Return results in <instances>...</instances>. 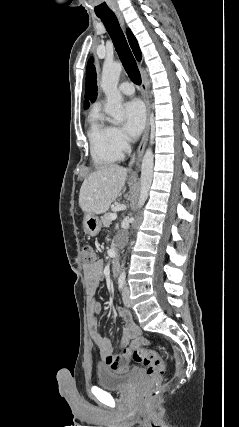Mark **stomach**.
<instances>
[{
    "label": "stomach",
    "mask_w": 239,
    "mask_h": 427,
    "mask_svg": "<svg viewBox=\"0 0 239 427\" xmlns=\"http://www.w3.org/2000/svg\"><path fill=\"white\" fill-rule=\"evenodd\" d=\"M83 226L88 235L96 236L101 230L102 222L95 214L87 213L84 216Z\"/></svg>",
    "instance_id": "stomach-1"
}]
</instances>
